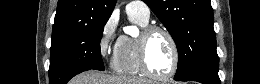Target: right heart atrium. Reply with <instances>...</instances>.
Wrapping results in <instances>:
<instances>
[{
	"label": "right heart atrium",
	"mask_w": 260,
	"mask_h": 84,
	"mask_svg": "<svg viewBox=\"0 0 260 84\" xmlns=\"http://www.w3.org/2000/svg\"><path fill=\"white\" fill-rule=\"evenodd\" d=\"M116 25V20L110 17L100 31L98 47L101 56L105 59L113 60L117 52L119 38L115 37Z\"/></svg>",
	"instance_id": "1"
}]
</instances>
